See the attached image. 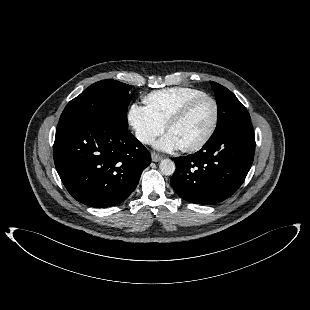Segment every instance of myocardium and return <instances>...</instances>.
Here are the masks:
<instances>
[{"label":"myocardium","mask_w":310,"mask_h":310,"mask_svg":"<svg viewBox=\"0 0 310 310\" xmlns=\"http://www.w3.org/2000/svg\"><path fill=\"white\" fill-rule=\"evenodd\" d=\"M203 100H208L213 104L214 114L211 125L206 134L203 136V138L199 140L197 143L181 147L182 150L185 152L199 151L200 149L205 147L213 137L219 121V105L217 101L213 97L206 94L190 99L169 119V121L166 124V128L169 131L174 125L182 121L196 104H198Z\"/></svg>","instance_id":"f54148a6"}]
</instances>
